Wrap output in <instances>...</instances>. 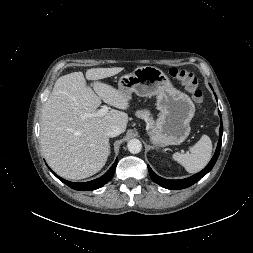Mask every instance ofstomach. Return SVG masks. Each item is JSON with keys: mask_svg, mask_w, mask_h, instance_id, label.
Segmentation results:
<instances>
[{"mask_svg": "<svg viewBox=\"0 0 253 253\" xmlns=\"http://www.w3.org/2000/svg\"><path fill=\"white\" fill-rule=\"evenodd\" d=\"M119 90L129 98L132 93L141 97L157 96L159 117L148 131L153 144L160 147L178 145L189 136L195 105L187 94L172 85L161 69L155 66L137 67L120 78Z\"/></svg>", "mask_w": 253, "mask_h": 253, "instance_id": "obj_1", "label": "stomach"}]
</instances>
